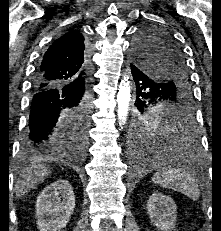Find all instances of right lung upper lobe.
Listing matches in <instances>:
<instances>
[{
	"mask_svg": "<svg viewBox=\"0 0 221 231\" xmlns=\"http://www.w3.org/2000/svg\"><path fill=\"white\" fill-rule=\"evenodd\" d=\"M90 75L91 64L84 37L73 30L55 40L45 52L35 76L34 89L84 82Z\"/></svg>",
	"mask_w": 221,
	"mask_h": 231,
	"instance_id": "cb5924a9",
	"label": "right lung upper lobe"
}]
</instances>
